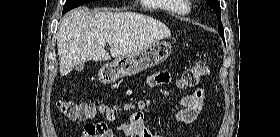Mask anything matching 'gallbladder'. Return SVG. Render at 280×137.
Masks as SVG:
<instances>
[{
  "label": "gallbladder",
  "instance_id": "bac80fb5",
  "mask_svg": "<svg viewBox=\"0 0 280 137\" xmlns=\"http://www.w3.org/2000/svg\"><path fill=\"white\" fill-rule=\"evenodd\" d=\"M84 67H85V63L82 62V63H79V64L75 65L74 69L78 72H81V71H83Z\"/></svg>",
  "mask_w": 280,
  "mask_h": 137
}]
</instances>
